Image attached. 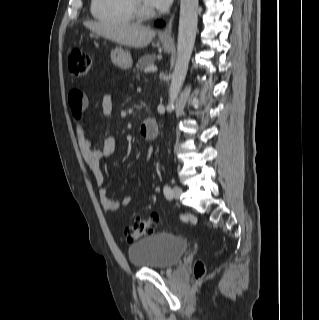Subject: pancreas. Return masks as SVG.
<instances>
[{
	"label": "pancreas",
	"instance_id": "obj_1",
	"mask_svg": "<svg viewBox=\"0 0 319 320\" xmlns=\"http://www.w3.org/2000/svg\"><path fill=\"white\" fill-rule=\"evenodd\" d=\"M156 60V55L151 54V55H143L142 57L139 58L136 68L133 70L134 73H138L142 69L154 65Z\"/></svg>",
	"mask_w": 319,
	"mask_h": 320
}]
</instances>
